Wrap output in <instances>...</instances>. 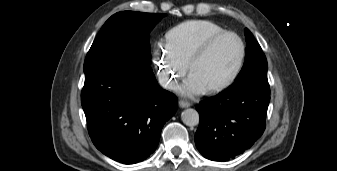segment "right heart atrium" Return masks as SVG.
<instances>
[{
    "instance_id": "obj_1",
    "label": "right heart atrium",
    "mask_w": 337,
    "mask_h": 171,
    "mask_svg": "<svg viewBox=\"0 0 337 171\" xmlns=\"http://www.w3.org/2000/svg\"><path fill=\"white\" fill-rule=\"evenodd\" d=\"M153 59L158 77L164 86L174 87L187 71V65L176 57L163 43L155 46Z\"/></svg>"
}]
</instances>
